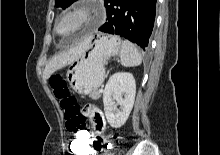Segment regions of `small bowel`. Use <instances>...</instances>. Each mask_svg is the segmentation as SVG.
<instances>
[{
    "mask_svg": "<svg viewBox=\"0 0 220 155\" xmlns=\"http://www.w3.org/2000/svg\"><path fill=\"white\" fill-rule=\"evenodd\" d=\"M83 113L85 114V119H90L93 123L96 133H101L105 128V119L103 114L98 110L97 105H84ZM99 126L101 128H99ZM92 140V146L90 147V155L94 153L93 141L95 139L94 134Z\"/></svg>",
    "mask_w": 220,
    "mask_h": 155,
    "instance_id": "c3829d8e",
    "label": "small bowel"
}]
</instances>
